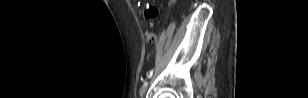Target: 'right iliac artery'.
I'll return each instance as SVG.
<instances>
[{
  "instance_id": "right-iliac-artery-1",
  "label": "right iliac artery",
  "mask_w": 308,
  "mask_h": 98,
  "mask_svg": "<svg viewBox=\"0 0 308 98\" xmlns=\"http://www.w3.org/2000/svg\"><path fill=\"white\" fill-rule=\"evenodd\" d=\"M147 85H148L147 82H145V83L142 85V87H141V89H140V95H141V96H142L143 92L147 89Z\"/></svg>"
}]
</instances>
